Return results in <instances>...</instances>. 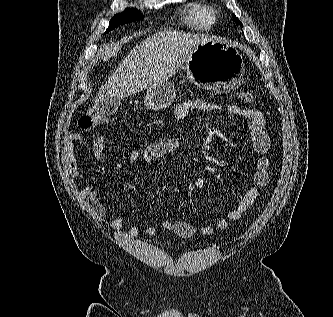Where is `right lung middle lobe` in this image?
<instances>
[{
	"label": "right lung middle lobe",
	"instance_id": "1",
	"mask_svg": "<svg viewBox=\"0 0 333 317\" xmlns=\"http://www.w3.org/2000/svg\"><path fill=\"white\" fill-rule=\"evenodd\" d=\"M142 18H143V15L137 9H127L124 12H122L118 15H115L111 19V21L109 23V27L106 30V32L111 31L114 27H116L118 25L129 23V22L139 20Z\"/></svg>",
	"mask_w": 333,
	"mask_h": 317
}]
</instances>
